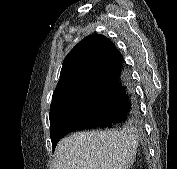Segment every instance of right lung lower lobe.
Returning <instances> with one entry per match:
<instances>
[{
    "label": "right lung lower lobe",
    "mask_w": 177,
    "mask_h": 169,
    "mask_svg": "<svg viewBox=\"0 0 177 169\" xmlns=\"http://www.w3.org/2000/svg\"><path fill=\"white\" fill-rule=\"evenodd\" d=\"M88 82L91 98L78 114L59 122L51 136L53 149L63 136L72 131L111 128L138 118L139 108L131 75L121 54Z\"/></svg>",
    "instance_id": "98d812e1"
}]
</instances>
